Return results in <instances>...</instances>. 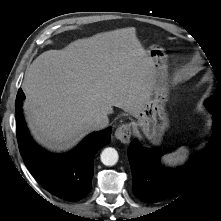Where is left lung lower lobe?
I'll list each match as a JSON object with an SVG mask.
<instances>
[{
	"label": "left lung lower lobe",
	"instance_id": "obj_1",
	"mask_svg": "<svg viewBox=\"0 0 221 221\" xmlns=\"http://www.w3.org/2000/svg\"><path fill=\"white\" fill-rule=\"evenodd\" d=\"M210 112L213 114V128L209 143L182 167L165 168L160 165L156 151L142 148L137 140L131 142L128 158L136 197L146 203H155L179 195L200 178L215 148L221 146V110L215 108Z\"/></svg>",
	"mask_w": 221,
	"mask_h": 221
}]
</instances>
